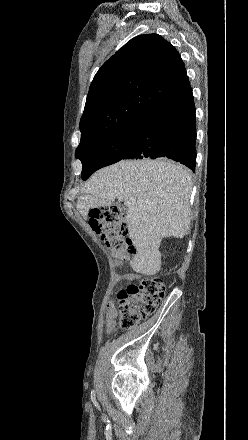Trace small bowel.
<instances>
[{
  "instance_id": "obj_1",
  "label": "small bowel",
  "mask_w": 248,
  "mask_h": 440,
  "mask_svg": "<svg viewBox=\"0 0 248 440\" xmlns=\"http://www.w3.org/2000/svg\"><path fill=\"white\" fill-rule=\"evenodd\" d=\"M117 314L116 306L113 303L109 304L106 314V329L108 332H111L115 329Z\"/></svg>"
}]
</instances>
